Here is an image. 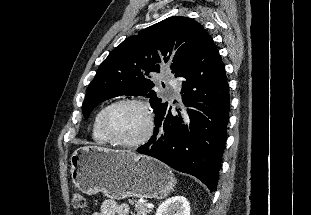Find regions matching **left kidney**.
<instances>
[{
    "label": "left kidney",
    "mask_w": 311,
    "mask_h": 215,
    "mask_svg": "<svg viewBox=\"0 0 311 215\" xmlns=\"http://www.w3.org/2000/svg\"><path fill=\"white\" fill-rule=\"evenodd\" d=\"M155 215H190V206L184 196H174L163 202Z\"/></svg>",
    "instance_id": "left-kidney-1"
}]
</instances>
